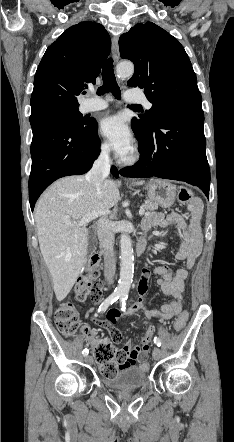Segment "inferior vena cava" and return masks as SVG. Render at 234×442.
I'll use <instances>...</instances> for the list:
<instances>
[{
    "label": "inferior vena cava",
    "mask_w": 234,
    "mask_h": 442,
    "mask_svg": "<svg viewBox=\"0 0 234 442\" xmlns=\"http://www.w3.org/2000/svg\"><path fill=\"white\" fill-rule=\"evenodd\" d=\"M110 173L109 149L103 148L99 157L95 160L92 168L86 174L85 178L88 182L99 190L102 183ZM98 238L103 246L104 254V276L108 285L114 280L116 264L114 259V232L107 218H101L98 221Z\"/></svg>",
    "instance_id": "602c4592"
}]
</instances>
